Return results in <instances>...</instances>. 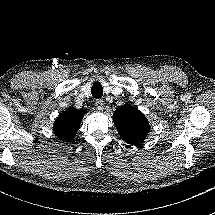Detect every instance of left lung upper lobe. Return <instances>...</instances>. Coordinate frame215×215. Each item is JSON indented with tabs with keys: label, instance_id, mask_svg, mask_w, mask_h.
I'll return each instance as SVG.
<instances>
[{
	"label": "left lung upper lobe",
	"instance_id": "1",
	"mask_svg": "<svg viewBox=\"0 0 215 215\" xmlns=\"http://www.w3.org/2000/svg\"><path fill=\"white\" fill-rule=\"evenodd\" d=\"M114 124L121 138L128 144L140 146L150 130V125L142 112L130 104H125L113 114Z\"/></svg>",
	"mask_w": 215,
	"mask_h": 215
}]
</instances>
